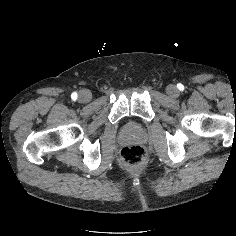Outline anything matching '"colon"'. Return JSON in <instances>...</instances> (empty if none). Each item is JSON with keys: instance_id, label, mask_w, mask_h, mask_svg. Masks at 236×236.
<instances>
[{"instance_id": "1", "label": "colon", "mask_w": 236, "mask_h": 236, "mask_svg": "<svg viewBox=\"0 0 236 236\" xmlns=\"http://www.w3.org/2000/svg\"><path fill=\"white\" fill-rule=\"evenodd\" d=\"M120 158L124 165L136 167L144 162L145 151L139 145H127L121 150Z\"/></svg>"}]
</instances>
